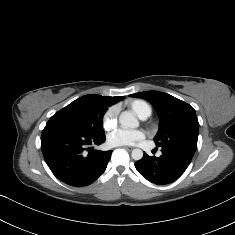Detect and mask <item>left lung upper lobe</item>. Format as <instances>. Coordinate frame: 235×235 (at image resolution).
<instances>
[{"label":"left lung upper lobe","mask_w":235,"mask_h":235,"mask_svg":"<svg viewBox=\"0 0 235 235\" xmlns=\"http://www.w3.org/2000/svg\"><path fill=\"white\" fill-rule=\"evenodd\" d=\"M130 96L143 98L156 109L160 118L159 131L154 138L156 146H180L196 151L199 123L193 107L159 91H144Z\"/></svg>","instance_id":"obj_1"}]
</instances>
